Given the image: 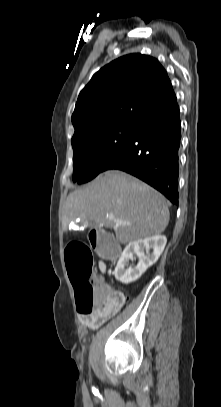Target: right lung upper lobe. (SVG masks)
Wrapping results in <instances>:
<instances>
[{
    "instance_id": "1",
    "label": "right lung upper lobe",
    "mask_w": 221,
    "mask_h": 407,
    "mask_svg": "<svg viewBox=\"0 0 221 407\" xmlns=\"http://www.w3.org/2000/svg\"><path fill=\"white\" fill-rule=\"evenodd\" d=\"M173 95L158 60L142 54L120 57L95 73L80 92L72 115L71 143L103 128L137 124Z\"/></svg>"
}]
</instances>
